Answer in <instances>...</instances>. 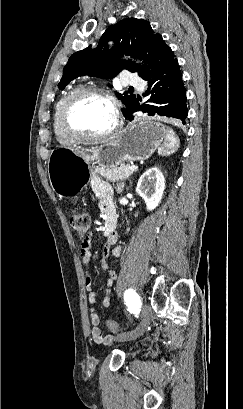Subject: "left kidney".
Instances as JSON below:
<instances>
[{
    "mask_svg": "<svg viewBox=\"0 0 243 409\" xmlns=\"http://www.w3.org/2000/svg\"><path fill=\"white\" fill-rule=\"evenodd\" d=\"M164 190L165 178L157 167L143 173L136 187V192L144 199L148 211L154 210L159 205Z\"/></svg>",
    "mask_w": 243,
    "mask_h": 409,
    "instance_id": "5707ae66",
    "label": "left kidney"
}]
</instances>
